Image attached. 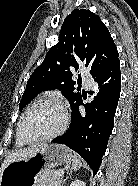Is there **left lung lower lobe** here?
I'll return each mask as SVG.
<instances>
[{"label":"left lung lower lobe","instance_id":"0a47b994","mask_svg":"<svg viewBox=\"0 0 138 186\" xmlns=\"http://www.w3.org/2000/svg\"><path fill=\"white\" fill-rule=\"evenodd\" d=\"M93 78L96 82L95 89L88 92L93 96V101L83 104L81 95L71 106L72 120L67 133L53 139L52 142L65 144L81 155L95 175L99 170L109 136L112 133L120 97L119 59ZM80 105L85 107V113H80Z\"/></svg>","mask_w":138,"mask_h":186}]
</instances>
